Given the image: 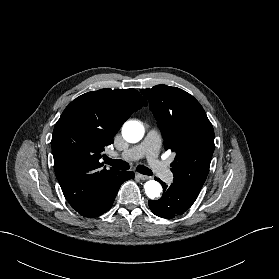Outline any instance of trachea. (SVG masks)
<instances>
[{
    "instance_id": "3493384b",
    "label": "trachea",
    "mask_w": 279,
    "mask_h": 279,
    "mask_svg": "<svg viewBox=\"0 0 279 279\" xmlns=\"http://www.w3.org/2000/svg\"><path fill=\"white\" fill-rule=\"evenodd\" d=\"M105 161L107 164L119 170H128L130 168L129 164L123 160H114V159L106 158ZM137 171L144 175H153L152 171L143 165L137 166Z\"/></svg>"
}]
</instances>
